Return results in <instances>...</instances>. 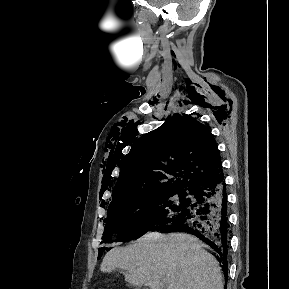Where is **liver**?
<instances>
[{
	"label": "liver",
	"mask_w": 289,
	"mask_h": 289,
	"mask_svg": "<svg viewBox=\"0 0 289 289\" xmlns=\"http://www.w3.org/2000/svg\"><path fill=\"white\" fill-rule=\"evenodd\" d=\"M126 270L125 281L150 289H223L217 260L197 238L183 233L150 232L126 248L108 252L102 272Z\"/></svg>",
	"instance_id": "1"
}]
</instances>
